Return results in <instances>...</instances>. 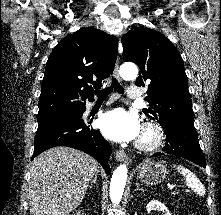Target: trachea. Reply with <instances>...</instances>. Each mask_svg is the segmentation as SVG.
I'll return each mask as SVG.
<instances>
[{
    "label": "trachea",
    "instance_id": "trachea-1",
    "mask_svg": "<svg viewBox=\"0 0 221 215\" xmlns=\"http://www.w3.org/2000/svg\"><path fill=\"white\" fill-rule=\"evenodd\" d=\"M113 89L120 94L124 93V88L118 83L115 78H112V84L110 87L103 90H96L94 91V93L98 97V100H104L113 91Z\"/></svg>",
    "mask_w": 221,
    "mask_h": 215
}]
</instances>
